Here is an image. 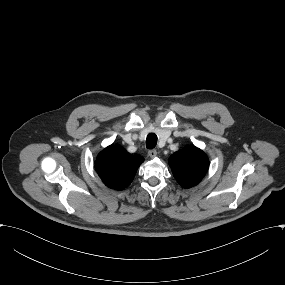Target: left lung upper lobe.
I'll list each match as a JSON object with an SVG mask.
<instances>
[{"label":"left lung upper lobe","mask_w":285,"mask_h":285,"mask_svg":"<svg viewBox=\"0 0 285 285\" xmlns=\"http://www.w3.org/2000/svg\"><path fill=\"white\" fill-rule=\"evenodd\" d=\"M169 164L177 182L185 188H190L205 176L209 160L202 150L192 145L175 152L169 158Z\"/></svg>","instance_id":"1"}]
</instances>
